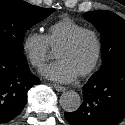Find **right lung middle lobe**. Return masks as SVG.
I'll use <instances>...</instances> for the list:
<instances>
[{
  "instance_id": "right-lung-middle-lobe-1",
  "label": "right lung middle lobe",
  "mask_w": 125,
  "mask_h": 125,
  "mask_svg": "<svg viewBox=\"0 0 125 125\" xmlns=\"http://www.w3.org/2000/svg\"><path fill=\"white\" fill-rule=\"evenodd\" d=\"M54 10L33 6L22 0H0V44L23 52L26 30L48 17Z\"/></svg>"
}]
</instances>
